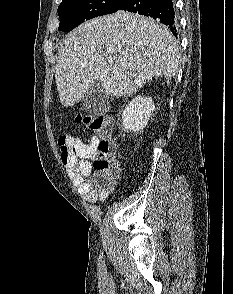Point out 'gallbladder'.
<instances>
[{
	"instance_id": "obj_1",
	"label": "gallbladder",
	"mask_w": 233,
	"mask_h": 294,
	"mask_svg": "<svg viewBox=\"0 0 233 294\" xmlns=\"http://www.w3.org/2000/svg\"><path fill=\"white\" fill-rule=\"evenodd\" d=\"M108 104L109 97L104 93L102 86L97 83L90 88L82 100L84 110L93 115L106 111Z\"/></svg>"
}]
</instances>
